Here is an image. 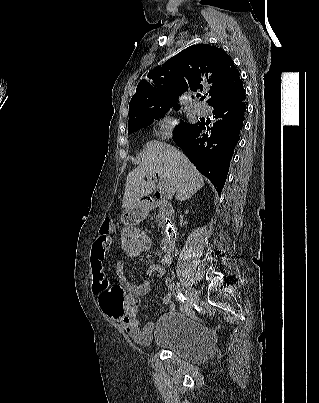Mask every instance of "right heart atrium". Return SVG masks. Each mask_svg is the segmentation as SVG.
Segmentation results:
<instances>
[{
  "label": "right heart atrium",
  "mask_w": 319,
  "mask_h": 403,
  "mask_svg": "<svg viewBox=\"0 0 319 403\" xmlns=\"http://www.w3.org/2000/svg\"><path fill=\"white\" fill-rule=\"evenodd\" d=\"M177 127V119L171 114L161 115L155 122V135L159 139L170 138Z\"/></svg>",
  "instance_id": "1"
}]
</instances>
